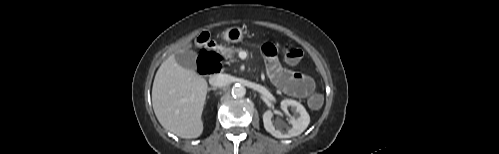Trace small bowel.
I'll return each instance as SVG.
<instances>
[{"label": "small bowel", "mask_w": 499, "mask_h": 154, "mask_svg": "<svg viewBox=\"0 0 499 154\" xmlns=\"http://www.w3.org/2000/svg\"><path fill=\"white\" fill-rule=\"evenodd\" d=\"M262 52L265 57V73L279 89L298 98L307 97L315 89V83L311 77L285 70L280 66L276 48L272 44H265Z\"/></svg>", "instance_id": "small-bowel-1"}]
</instances>
